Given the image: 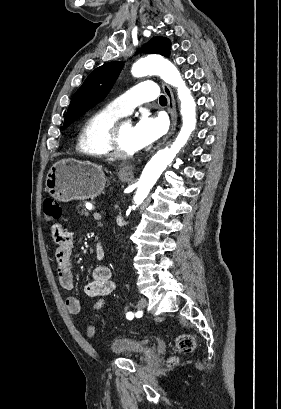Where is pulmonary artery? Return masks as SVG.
<instances>
[{
  "label": "pulmonary artery",
  "mask_w": 281,
  "mask_h": 409,
  "mask_svg": "<svg viewBox=\"0 0 281 409\" xmlns=\"http://www.w3.org/2000/svg\"><path fill=\"white\" fill-rule=\"evenodd\" d=\"M158 88L153 81H137L131 90H123L122 97H114L111 110L119 115H125L135 106L153 101Z\"/></svg>",
  "instance_id": "pulmonary-artery-1"
}]
</instances>
